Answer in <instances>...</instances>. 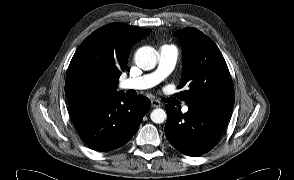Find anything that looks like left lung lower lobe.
<instances>
[{"mask_svg": "<svg viewBox=\"0 0 294 180\" xmlns=\"http://www.w3.org/2000/svg\"><path fill=\"white\" fill-rule=\"evenodd\" d=\"M165 107V134L177 150L188 156H200L217 144L232 111V106L200 103H188L184 114L174 105Z\"/></svg>", "mask_w": 294, "mask_h": 180, "instance_id": "0a47b994", "label": "left lung lower lobe"}]
</instances>
